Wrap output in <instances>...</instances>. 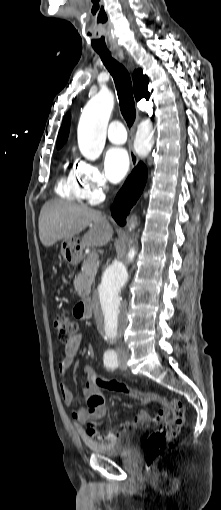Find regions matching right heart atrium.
Wrapping results in <instances>:
<instances>
[{"instance_id": "1", "label": "right heart atrium", "mask_w": 221, "mask_h": 510, "mask_svg": "<svg viewBox=\"0 0 221 510\" xmlns=\"http://www.w3.org/2000/svg\"><path fill=\"white\" fill-rule=\"evenodd\" d=\"M76 188L80 199L89 204L100 202L107 189V179L95 163L79 161L74 169Z\"/></svg>"}]
</instances>
